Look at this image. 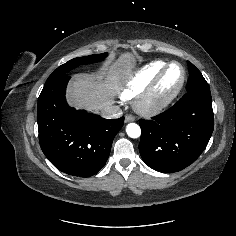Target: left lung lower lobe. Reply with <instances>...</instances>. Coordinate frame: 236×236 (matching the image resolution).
Returning a JSON list of instances; mask_svg holds the SVG:
<instances>
[{
    "label": "left lung lower lobe",
    "mask_w": 236,
    "mask_h": 236,
    "mask_svg": "<svg viewBox=\"0 0 236 236\" xmlns=\"http://www.w3.org/2000/svg\"><path fill=\"white\" fill-rule=\"evenodd\" d=\"M139 124L143 161L163 173L184 169L204 151L214 129L209 87L187 91L170 109Z\"/></svg>",
    "instance_id": "obj_1"
}]
</instances>
